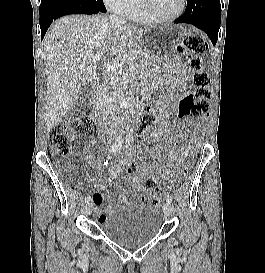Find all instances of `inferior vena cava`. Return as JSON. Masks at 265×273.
Segmentation results:
<instances>
[{
	"label": "inferior vena cava",
	"mask_w": 265,
	"mask_h": 273,
	"mask_svg": "<svg viewBox=\"0 0 265 273\" xmlns=\"http://www.w3.org/2000/svg\"><path fill=\"white\" fill-rule=\"evenodd\" d=\"M109 21L111 24H124V22H125L122 18H120L114 14H111L109 16Z\"/></svg>",
	"instance_id": "inferior-vena-cava-1"
}]
</instances>
